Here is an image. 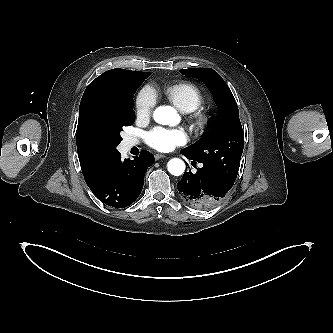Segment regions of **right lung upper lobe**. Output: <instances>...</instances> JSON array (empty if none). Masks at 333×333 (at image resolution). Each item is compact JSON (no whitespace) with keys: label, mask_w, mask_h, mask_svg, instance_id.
<instances>
[{"label":"right lung upper lobe","mask_w":333,"mask_h":333,"mask_svg":"<svg viewBox=\"0 0 333 333\" xmlns=\"http://www.w3.org/2000/svg\"><path fill=\"white\" fill-rule=\"evenodd\" d=\"M141 73L119 68L108 70L85 89L79 107L76 142L81 169L89 187L103 175L116 156L100 153L93 144V127L101 113L102 103L108 96L127 89Z\"/></svg>","instance_id":"right-lung-upper-lobe-1"}]
</instances>
